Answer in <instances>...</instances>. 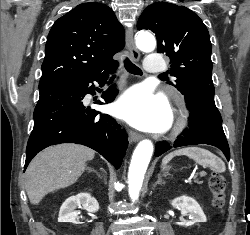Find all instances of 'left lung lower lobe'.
<instances>
[{
  "instance_id": "left-lung-lower-lobe-1",
  "label": "left lung lower lobe",
  "mask_w": 250,
  "mask_h": 235,
  "mask_svg": "<svg viewBox=\"0 0 250 235\" xmlns=\"http://www.w3.org/2000/svg\"><path fill=\"white\" fill-rule=\"evenodd\" d=\"M184 96L191 112L190 126L185 130L186 135L177 140L173 147L208 144L222 150L229 161L230 150L222 128V118L214 102V86L191 88ZM170 148L169 144L158 142L155 156H160Z\"/></svg>"
}]
</instances>
